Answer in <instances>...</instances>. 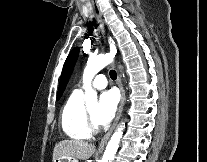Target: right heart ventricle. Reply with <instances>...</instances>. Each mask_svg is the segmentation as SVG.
<instances>
[{"label":"right heart ventricle","mask_w":207,"mask_h":162,"mask_svg":"<svg viewBox=\"0 0 207 162\" xmlns=\"http://www.w3.org/2000/svg\"><path fill=\"white\" fill-rule=\"evenodd\" d=\"M60 126L63 132L75 140H88L91 130L88 127L82 92L75 90L68 97L60 116Z\"/></svg>","instance_id":"1"}]
</instances>
